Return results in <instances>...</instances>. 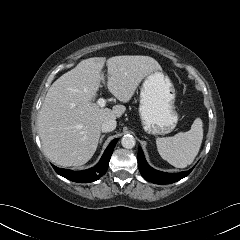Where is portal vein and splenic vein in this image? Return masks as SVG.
<instances>
[{
  "mask_svg": "<svg viewBox=\"0 0 240 240\" xmlns=\"http://www.w3.org/2000/svg\"><path fill=\"white\" fill-rule=\"evenodd\" d=\"M96 105L97 106H99V107H105V105H106V99H104V98H100V99H98L97 100V102H96Z\"/></svg>",
  "mask_w": 240,
  "mask_h": 240,
  "instance_id": "18ae733b",
  "label": "portal vein and splenic vein"
}]
</instances>
